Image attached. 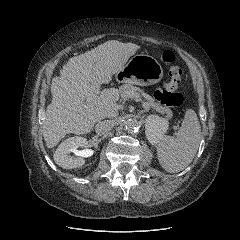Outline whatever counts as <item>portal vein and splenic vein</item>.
I'll use <instances>...</instances> for the list:
<instances>
[{
	"label": "portal vein and splenic vein",
	"mask_w": 240,
	"mask_h": 240,
	"mask_svg": "<svg viewBox=\"0 0 240 240\" xmlns=\"http://www.w3.org/2000/svg\"><path fill=\"white\" fill-rule=\"evenodd\" d=\"M104 92L108 93V95H114V91L112 89L110 90H104ZM103 93V91L101 92L99 89L98 85H92L91 90H90V94H89V98L92 99L94 97H97L99 94ZM132 98H135L137 101H140L142 103V106L146 109L149 110L150 106L146 103V102H142L141 99H139L137 96H134L132 94Z\"/></svg>",
	"instance_id": "1"
}]
</instances>
